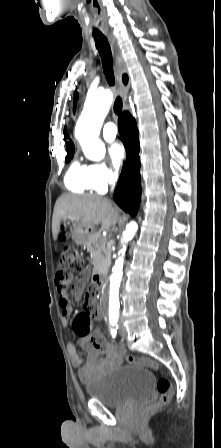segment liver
<instances>
[{"mask_svg":"<svg viewBox=\"0 0 221 448\" xmlns=\"http://www.w3.org/2000/svg\"><path fill=\"white\" fill-rule=\"evenodd\" d=\"M118 216V210L106 198L65 194L58 198L54 207L53 237L57 239L62 220L75 221L85 227L101 224L103 229L108 230L116 225Z\"/></svg>","mask_w":221,"mask_h":448,"instance_id":"6515ba94","label":"liver"}]
</instances>
